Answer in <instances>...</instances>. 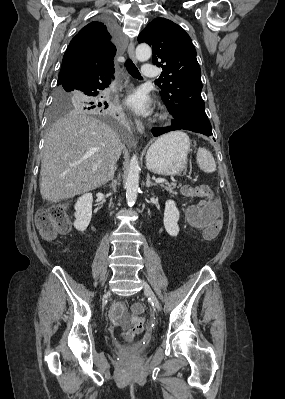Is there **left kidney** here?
I'll list each match as a JSON object with an SVG mask.
<instances>
[{"label":"left kidney","mask_w":285,"mask_h":399,"mask_svg":"<svg viewBox=\"0 0 285 399\" xmlns=\"http://www.w3.org/2000/svg\"><path fill=\"white\" fill-rule=\"evenodd\" d=\"M179 211L176 207V204L173 200H167L165 203V211H164V227L167 233L170 236H177L179 233Z\"/></svg>","instance_id":"obj_1"}]
</instances>
